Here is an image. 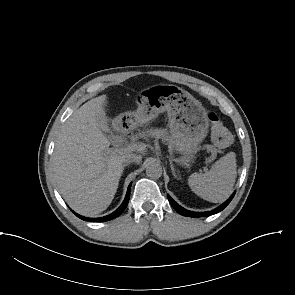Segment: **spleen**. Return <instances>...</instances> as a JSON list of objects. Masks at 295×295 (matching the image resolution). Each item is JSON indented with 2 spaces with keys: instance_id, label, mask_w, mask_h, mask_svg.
Instances as JSON below:
<instances>
[{
  "instance_id": "3e777b00",
  "label": "spleen",
  "mask_w": 295,
  "mask_h": 295,
  "mask_svg": "<svg viewBox=\"0 0 295 295\" xmlns=\"http://www.w3.org/2000/svg\"><path fill=\"white\" fill-rule=\"evenodd\" d=\"M235 153L229 152L204 173H193L188 179L191 190L209 202H224L232 193L236 180Z\"/></svg>"
}]
</instances>
